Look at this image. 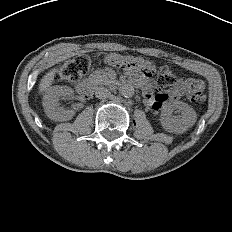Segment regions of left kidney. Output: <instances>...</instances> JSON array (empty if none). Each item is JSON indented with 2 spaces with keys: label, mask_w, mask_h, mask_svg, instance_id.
Wrapping results in <instances>:
<instances>
[{
  "label": "left kidney",
  "mask_w": 232,
  "mask_h": 232,
  "mask_svg": "<svg viewBox=\"0 0 232 232\" xmlns=\"http://www.w3.org/2000/svg\"><path fill=\"white\" fill-rule=\"evenodd\" d=\"M178 111L180 116H174ZM197 120L195 110L182 101H172L163 108L160 121L163 129L169 133L182 134L191 128Z\"/></svg>",
  "instance_id": "5707ae66"
}]
</instances>
